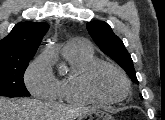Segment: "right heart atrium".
I'll return each mask as SVG.
<instances>
[{"instance_id": "d8ad5b80", "label": "right heart atrium", "mask_w": 165, "mask_h": 120, "mask_svg": "<svg viewBox=\"0 0 165 120\" xmlns=\"http://www.w3.org/2000/svg\"><path fill=\"white\" fill-rule=\"evenodd\" d=\"M25 83L28 90L36 97L50 99L56 96L58 80L45 54L39 55L29 65L25 73Z\"/></svg>"}]
</instances>
